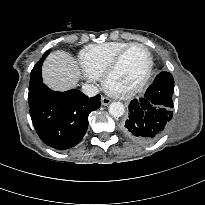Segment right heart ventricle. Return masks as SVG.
<instances>
[{
	"label": "right heart ventricle",
	"mask_w": 205,
	"mask_h": 205,
	"mask_svg": "<svg viewBox=\"0 0 205 205\" xmlns=\"http://www.w3.org/2000/svg\"><path fill=\"white\" fill-rule=\"evenodd\" d=\"M130 42H106L85 47L79 54V62L84 73L93 79L103 76L113 58Z\"/></svg>",
	"instance_id": "obj_1"
}]
</instances>
